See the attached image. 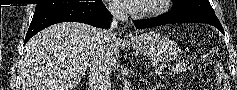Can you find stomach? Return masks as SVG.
Segmentation results:
<instances>
[{"label": "stomach", "instance_id": "1", "mask_svg": "<svg viewBox=\"0 0 237 90\" xmlns=\"http://www.w3.org/2000/svg\"><path fill=\"white\" fill-rule=\"evenodd\" d=\"M132 46L142 55L157 62H169L180 53L176 43L156 32L140 35L132 42Z\"/></svg>", "mask_w": 237, "mask_h": 90}]
</instances>
